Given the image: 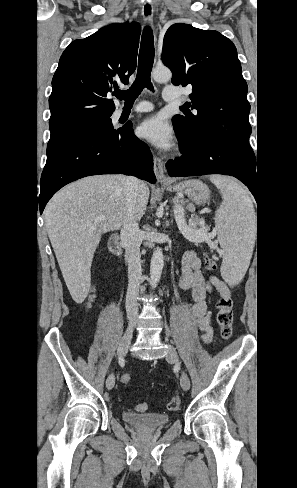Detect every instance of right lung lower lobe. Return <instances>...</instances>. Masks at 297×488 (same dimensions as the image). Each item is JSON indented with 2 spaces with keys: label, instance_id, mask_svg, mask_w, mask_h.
<instances>
[{
  "label": "right lung lower lobe",
  "instance_id": "obj_1",
  "mask_svg": "<svg viewBox=\"0 0 297 488\" xmlns=\"http://www.w3.org/2000/svg\"><path fill=\"white\" fill-rule=\"evenodd\" d=\"M153 158L132 127L71 139L47 155L38 205L42 214L49 199L64 185L97 174H126L155 183Z\"/></svg>",
  "mask_w": 297,
  "mask_h": 488
}]
</instances>
